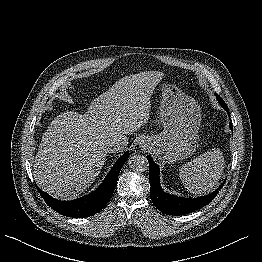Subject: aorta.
<instances>
[{
	"mask_svg": "<svg viewBox=\"0 0 262 262\" xmlns=\"http://www.w3.org/2000/svg\"><path fill=\"white\" fill-rule=\"evenodd\" d=\"M128 165L135 171H145L148 169V161L142 155H133L128 159Z\"/></svg>",
	"mask_w": 262,
	"mask_h": 262,
	"instance_id": "aorta-1",
	"label": "aorta"
}]
</instances>
